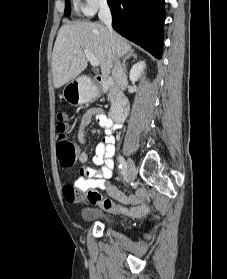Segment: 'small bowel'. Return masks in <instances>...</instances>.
Here are the masks:
<instances>
[{
  "label": "small bowel",
  "instance_id": "c3829d8e",
  "mask_svg": "<svg viewBox=\"0 0 227 279\" xmlns=\"http://www.w3.org/2000/svg\"><path fill=\"white\" fill-rule=\"evenodd\" d=\"M94 119L96 123L104 129L102 141L95 148V156L92 158V165L88 166L89 154L81 151L78 155V161L82 164L80 176L74 181L71 187L64 190V196L70 203L77 202L79 196L76 191L85 192L89 190V194L97 192V188L105 189L112 199L99 198L90 199V202L99 205L110 211L132 216H140L145 214L149 206L144 202V194L142 191H137L134 195L126 196L122 193L110 180L114 170V154H115V136L113 135L114 124L106 115L104 110L92 108L86 111L80 120L78 128V140L81 144L85 142V128ZM98 193V192H97ZM120 201L123 204L129 205L138 203L136 206L123 207L114 202Z\"/></svg>",
  "mask_w": 227,
  "mask_h": 279
}]
</instances>
